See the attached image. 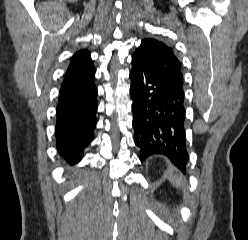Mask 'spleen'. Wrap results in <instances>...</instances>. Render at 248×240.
I'll return each mask as SVG.
<instances>
[{
  "label": "spleen",
  "mask_w": 248,
  "mask_h": 240,
  "mask_svg": "<svg viewBox=\"0 0 248 240\" xmlns=\"http://www.w3.org/2000/svg\"><path fill=\"white\" fill-rule=\"evenodd\" d=\"M169 181L176 187H182V178L181 176H177L173 173L168 174Z\"/></svg>",
  "instance_id": "spleen-1"
}]
</instances>
